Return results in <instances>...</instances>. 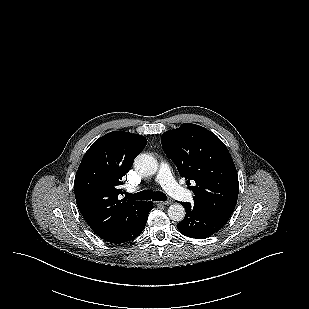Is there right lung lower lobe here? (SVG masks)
Returning <instances> with one entry per match:
<instances>
[{"label": "right lung lower lobe", "instance_id": "obj_1", "mask_svg": "<svg viewBox=\"0 0 309 309\" xmlns=\"http://www.w3.org/2000/svg\"><path fill=\"white\" fill-rule=\"evenodd\" d=\"M152 208L153 204L151 202H145V204L140 209L139 214L132 221H130L121 231L114 235L104 237L102 239L112 244H122L135 239L145 228L148 213L152 210Z\"/></svg>", "mask_w": 309, "mask_h": 309}]
</instances>
